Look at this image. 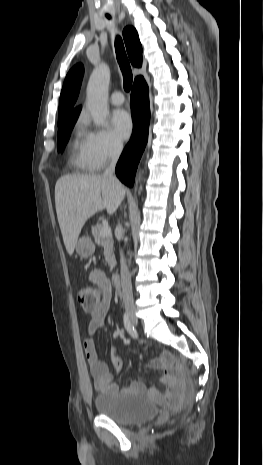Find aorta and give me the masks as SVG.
Masks as SVG:
<instances>
[{
    "mask_svg": "<svg viewBox=\"0 0 263 465\" xmlns=\"http://www.w3.org/2000/svg\"><path fill=\"white\" fill-rule=\"evenodd\" d=\"M110 69L105 63L97 66L87 85V107L97 126H103L108 116V86Z\"/></svg>",
    "mask_w": 263,
    "mask_h": 465,
    "instance_id": "762f6f07",
    "label": "aorta"
}]
</instances>
